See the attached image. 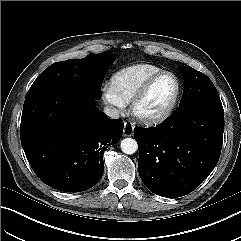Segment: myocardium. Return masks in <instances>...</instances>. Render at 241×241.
<instances>
[{
  "label": "myocardium",
  "mask_w": 241,
  "mask_h": 241,
  "mask_svg": "<svg viewBox=\"0 0 241 241\" xmlns=\"http://www.w3.org/2000/svg\"><path fill=\"white\" fill-rule=\"evenodd\" d=\"M163 76H171L174 78L176 82V91H175L174 97L172 98L171 102L159 113H156V114L141 113L138 109L140 103L147 96L148 92L150 91L152 86L156 83V81ZM180 95H181V82L178 76L171 71L162 70L154 74L153 76H151L134 95V97L130 102L131 115L136 121L144 125L152 126V125H157L159 123H162L172 115L173 111L175 110L178 104Z\"/></svg>",
  "instance_id": "myocardium-1"
}]
</instances>
